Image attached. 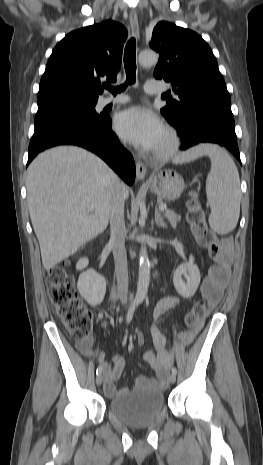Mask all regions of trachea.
<instances>
[{"label":"trachea","mask_w":263,"mask_h":465,"mask_svg":"<svg viewBox=\"0 0 263 465\" xmlns=\"http://www.w3.org/2000/svg\"><path fill=\"white\" fill-rule=\"evenodd\" d=\"M124 67L126 71V82L118 87L105 85L104 87L112 92L113 95L124 91L127 85L134 84L136 81V40L129 39L124 51Z\"/></svg>","instance_id":"1"}]
</instances>
